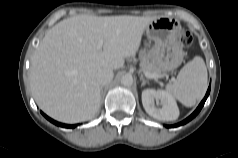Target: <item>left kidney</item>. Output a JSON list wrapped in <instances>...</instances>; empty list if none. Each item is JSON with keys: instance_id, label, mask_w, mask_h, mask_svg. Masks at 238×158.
I'll return each instance as SVG.
<instances>
[{"instance_id": "obj_1", "label": "left kidney", "mask_w": 238, "mask_h": 158, "mask_svg": "<svg viewBox=\"0 0 238 158\" xmlns=\"http://www.w3.org/2000/svg\"><path fill=\"white\" fill-rule=\"evenodd\" d=\"M156 103L160 101L159 108ZM142 104L145 111L160 121H173L179 116V109L174 98L163 90L146 89L142 92Z\"/></svg>"}]
</instances>
